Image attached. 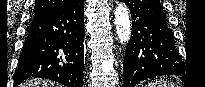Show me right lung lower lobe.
Wrapping results in <instances>:
<instances>
[{"instance_id":"obj_1","label":"right lung lower lobe","mask_w":205,"mask_h":87,"mask_svg":"<svg viewBox=\"0 0 205 87\" xmlns=\"http://www.w3.org/2000/svg\"><path fill=\"white\" fill-rule=\"evenodd\" d=\"M84 0L35 16L15 72L14 86L31 77L83 87Z\"/></svg>"}]
</instances>
